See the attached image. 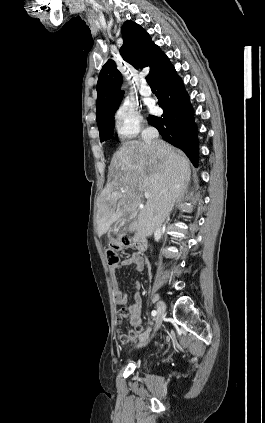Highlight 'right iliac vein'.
I'll list each match as a JSON object with an SVG mask.
<instances>
[{
	"label": "right iliac vein",
	"mask_w": 265,
	"mask_h": 423,
	"mask_svg": "<svg viewBox=\"0 0 265 423\" xmlns=\"http://www.w3.org/2000/svg\"><path fill=\"white\" fill-rule=\"evenodd\" d=\"M165 310H166V306L164 304L163 301H159L157 303V321H156V329H158L162 323V319L164 317L165 314ZM147 344V340L146 339H141L140 342L138 343L137 347H142L145 346Z\"/></svg>",
	"instance_id": "obj_1"
}]
</instances>
